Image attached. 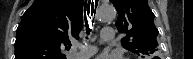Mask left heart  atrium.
<instances>
[{
    "instance_id": "obj_1",
    "label": "left heart atrium",
    "mask_w": 193,
    "mask_h": 59,
    "mask_svg": "<svg viewBox=\"0 0 193 59\" xmlns=\"http://www.w3.org/2000/svg\"><path fill=\"white\" fill-rule=\"evenodd\" d=\"M97 59H119L116 55L111 56H100Z\"/></svg>"
}]
</instances>
